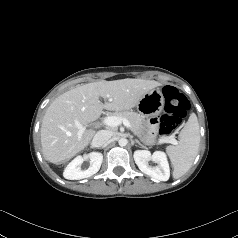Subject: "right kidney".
<instances>
[{"label": "right kidney", "instance_id": "obj_1", "mask_svg": "<svg viewBox=\"0 0 238 238\" xmlns=\"http://www.w3.org/2000/svg\"><path fill=\"white\" fill-rule=\"evenodd\" d=\"M90 159V167L87 170H81L80 166L84 161L82 156L74 158L65 168L63 176L69 180H80L96 174L102 164L103 155L100 152H91L87 155Z\"/></svg>", "mask_w": 238, "mask_h": 238}]
</instances>
